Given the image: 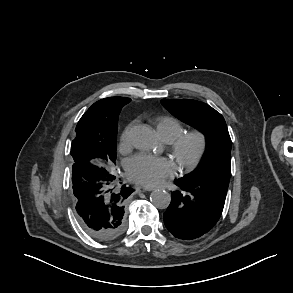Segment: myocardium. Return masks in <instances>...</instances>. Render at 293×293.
Here are the masks:
<instances>
[{
	"label": "myocardium",
	"mask_w": 293,
	"mask_h": 293,
	"mask_svg": "<svg viewBox=\"0 0 293 293\" xmlns=\"http://www.w3.org/2000/svg\"><path fill=\"white\" fill-rule=\"evenodd\" d=\"M193 142L195 149L190 157L179 161L183 155L185 147ZM208 145L206 134L200 130H191L182 133L173 141L169 142V151L174 159L178 160L177 169L181 172L193 170L203 158Z\"/></svg>",
	"instance_id": "1"
}]
</instances>
